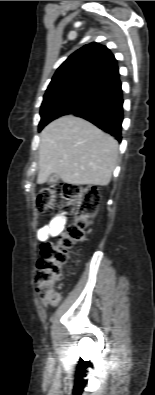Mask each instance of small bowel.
Wrapping results in <instances>:
<instances>
[{
	"mask_svg": "<svg viewBox=\"0 0 155 395\" xmlns=\"http://www.w3.org/2000/svg\"><path fill=\"white\" fill-rule=\"evenodd\" d=\"M65 224H66L65 214H59L55 216L50 220L48 224L42 226L37 231L38 240L44 242L48 240L50 237L58 236L63 231Z\"/></svg>",
	"mask_w": 155,
	"mask_h": 395,
	"instance_id": "1",
	"label": "small bowel"
}]
</instances>
